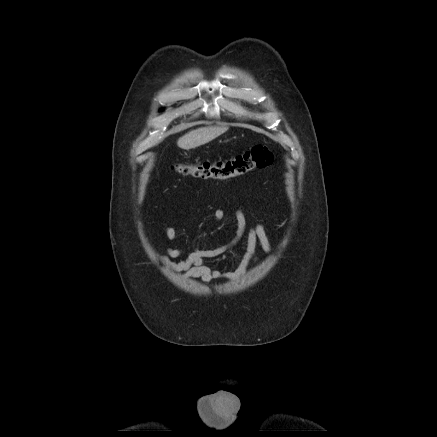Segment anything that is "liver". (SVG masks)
<instances>
[{"label": "liver", "instance_id": "obj_1", "mask_svg": "<svg viewBox=\"0 0 437 437\" xmlns=\"http://www.w3.org/2000/svg\"><path fill=\"white\" fill-rule=\"evenodd\" d=\"M228 130L227 127H201L180 137L178 147L189 150L204 145Z\"/></svg>", "mask_w": 437, "mask_h": 437}]
</instances>
